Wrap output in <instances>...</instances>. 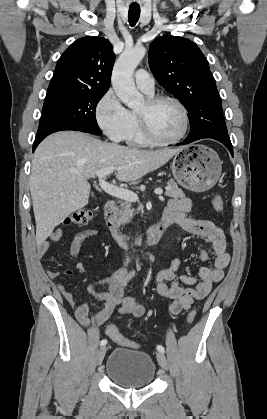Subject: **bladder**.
<instances>
[{"label":"bladder","mask_w":267,"mask_h":419,"mask_svg":"<svg viewBox=\"0 0 267 419\" xmlns=\"http://www.w3.org/2000/svg\"><path fill=\"white\" fill-rule=\"evenodd\" d=\"M105 373L118 386L139 388L148 386L154 381L156 367L149 354L117 347L107 358Z\"/></svg>","instance_id":"31cf9c89"}]
</instances>
